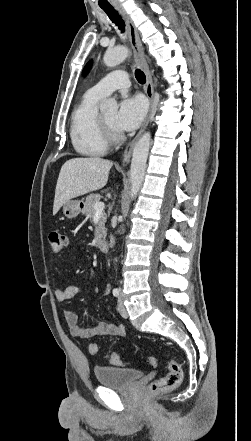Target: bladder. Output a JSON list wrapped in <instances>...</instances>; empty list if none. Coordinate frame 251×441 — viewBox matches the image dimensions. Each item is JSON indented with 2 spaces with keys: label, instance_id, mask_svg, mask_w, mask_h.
<instances>
[{
  "label": "bladder",
  "instance_id": "bladder-1",
  "mask_svg": "<svg viewBox=\"0 0 251 441\" xmlns=\"http://www.w3.org/2000/svg\"><path fill=\"white\" fill-rule=\"evenodd\" d=\"M94 375L102 386L127 389L143 376V372L131 368L97 366L94 368Z\"/></svg>",
  "mask_w": 251,
  "mask_h": 441
}]
</instances>
